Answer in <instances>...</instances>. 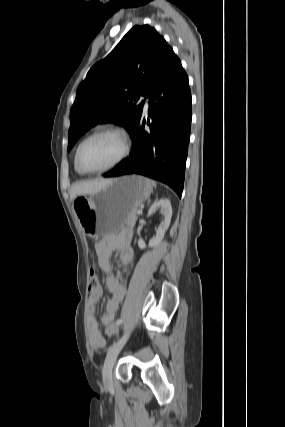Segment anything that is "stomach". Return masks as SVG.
Here are the masks:
<instances>
[{"mask_svg": "<svg viewBox=\"0 0 285 427\" xmlns=\"http://www.w3.org/2000/svg\"><path fill=\"white\" fill-rule=\"evenodd\" d=\"M152 192L150 180L138 175L113 179L102 190L74 198L72 206L83 230L92 237L116 234Z\"/></svg>", "mask_w": 285, "mask_h": 427, "instance_id": "obj_1", "label": "stomach"}]
</instances>
